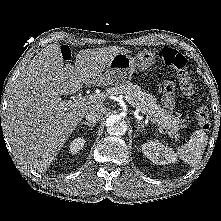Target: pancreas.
Instances as JSON below:
<instances>
[{"mask_svg":"<svg viewBox=\"0 0 221 221\" xmlns=\"http://www.w3.org/2000/svg\"><path fill=\"white\" fill-rule=\"evenodd\" d=\"M109 95L124 94L130 96L134 101V106L143 114L149 116L152 122L160 125L169 135H174L180 128L186 127L181 119V114L175 115L171 111H166L157 103L154 95L142 92L141 87L129 81L115 85L107 89Z\"/></svg>","mask_w":221,"mask_h":221,"instance_id":"cf45deb5","label":"pancreas"}]
</instances>
